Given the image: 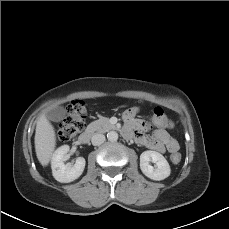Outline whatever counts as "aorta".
Segmentation results:
<instances>
[{
	"label": "aorta",
	"instance_id": "aorta-1",
	"mask_svg": "<svg viewBox=\"0 0 229 229\" xmlns=\"http://www.w3.org/2000/svg\"><path fill=\"white\" fill-rule=\"evenodd\" d=\"M107 139L111 142H115L118 140V133L115 131H110L107 134Z\"/></svg>",
	"mask_w": 229,
	"mask_h": 229
}]
</instances>
